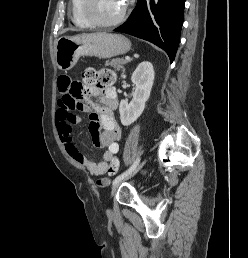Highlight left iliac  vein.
I'll return each instance as SVG.
<instances>
[{"label": "left iliac vein", "instance_id": "left-iliac-vein-1", "mask_svg": "<svg viewBox=\"0 0 248 258\" xmlns=\"http://www.w3.org/2000/svg\"><path fill=\"white\" fill-rule=\"evenodd\" d=\"M147 159L144 160L138 167H136V169L134 171H132L128 176H126L125 178H123L122 180H120L119 182H117L116 184H114V186L112 187V191H111V196H113L117 189L119 188L120 184L125 181L130 179L131 177H133L146 163Z\"/></svg>", "mask_w": 248, "mask_h": 258}]
</instances>
